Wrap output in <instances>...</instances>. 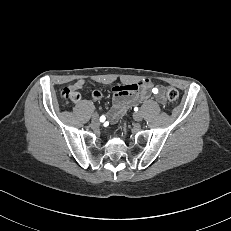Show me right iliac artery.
<instances>
[{"mask_svg":"<svg viewBox=\"0 0 231 231\" xmlns=\"http://www.w3.org/2000/svg\"><path fill=\"white\" fill-rule=\"evenodd\" d=\"M100 121H101V122L105 121V116H101V117H100Z\"/></svg>","mask_w":231,"mask_h":231,"instance_id":"right-iliac-artery-1","label":"right iliac artery"}]
</instances>
